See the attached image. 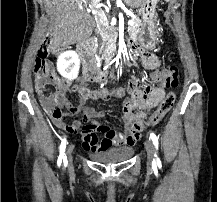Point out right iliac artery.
Returning a JSON list of instances; mask_svg holds the SVG:
<instances>
[{
	"label": "right iliac artery",
	"instance_id": "1",
	"mask_svg": "<svg viewBox=\"0 0 217 202\" xmlns=\"http://www.w3.org/2000/svg\"><path fill=\"white\" fill-rule=\"evenodd\" d=\"M66 144H67L66 138L62 139V142L60 145V155L58 157L57 163H62V161H63V163H67V158L65 155Z\"/></svg>",
	"mask_w": 217,
	"mask_h": 202
}]
</instances>
